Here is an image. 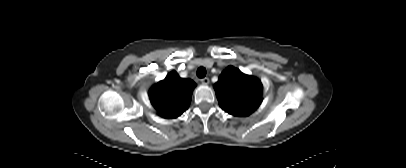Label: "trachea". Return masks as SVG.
<instances>
[{
    "label": "trachea",
    "mask_w": 406,
    "mask_h": 168,
    "mask_svg": "<svg viewBox=\"0 0 406 168\" xmlns=\"http://www.w3.org/2000/svg\"><path fill=\"white\" fill-rule=\"evenodd\" d=\"M197 76L199 78H204L206 76V69L204 67H199L197 69Z\"/></svg>",
    "instance_id": "trachea-1"
}]
</instances>
